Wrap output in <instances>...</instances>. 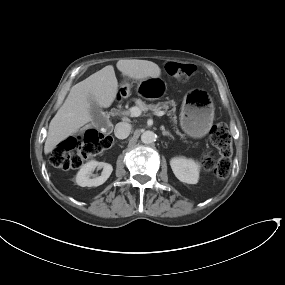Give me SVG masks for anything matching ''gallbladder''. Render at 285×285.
Instances as JSON below:
<instances>
[{
  "mask_svg": "<svg viewBox=\"0 0 285 285\" xmlns=\"http://www.w3.org/2000/svg\"><path fill=\"white\" fill-rule=\"evenodd\" d=\"M90 112L94 122L107 126L108 122L106 120V117L104 116L100 106L94 100H91Z\"/></svg>",
  "mask_w": 285,
  "mask_h": 285,
  "instance_id": "bac80fb5",
  "label": "gallbladder"
}]
</instances>
